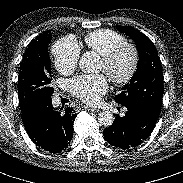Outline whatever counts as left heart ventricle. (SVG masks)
Returning <instances> with one entry per match:
<instances>
[{
    "label": "left heart ventricle",
    "mask_w": 183,
    "mask_h": 183,
    "mask_svg": "<svg viewBox=\"0 0 183 183\" xmlns=\"http://www.w3.org/2000/svg\"><path fill=\"white\" fill-rule=\"evenodd\" d=\"M130 62H131L130 54L128 52L123 53L114 63L112 67L113 73L116 75L124 74L128 70ZM100 69L103 71L105 70V66L102 61L100 63Z\"/></svg>",
    "instance_id": "obj_1"
}]
</instances>
